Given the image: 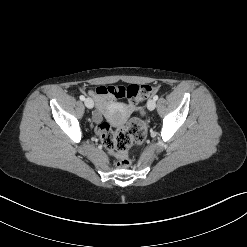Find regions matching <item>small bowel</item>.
Here are the masks:
<instances>
[{
  "mask_svg": "<svg viewBox=\"0 0 247 247\" xmlns=\"http://www.w3.org/2000/svg\"><path fill=\"white\" fill-rule=\"evenodd\" d=\"M82 91L91 95L95 99L97 111L94 118L97 122L101 121L102 113L112 105L114 95L108 92L107 87L104 86L97 87L95 91L85 89ZM128 108L132 112L136 110V106L134 108L128 106Z\"/></svg>",
  "mask_w": 247,
  "mask_h": 247,
  "instance_id": "c3829d8e",
  "label": "small bowel"
}]
</instances>
